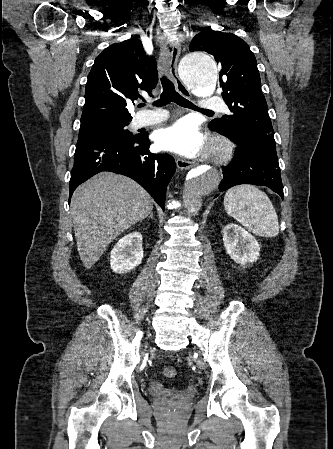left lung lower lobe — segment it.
<instances>
[{
  "label": "left lung lower lobe",
  "mask_w": 333,
  "mask_h": 449,
  "mask_svg": "<svg viewBox=\"0 0 333 449\" xmlns=\"http://www.w3.org/2000/svg\"><path fill=\"white\" fill-rule=\"evenodd\" d=\"M234 142L238 146L237 155L227 167L223 168L220 191L239 184H254L267 186L283 198L277 154L262 147Z\"/></svg>",
  "instance_id": "0a47b994"
}]
</instances>
